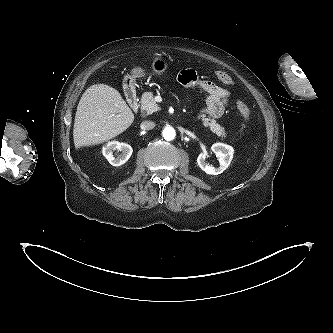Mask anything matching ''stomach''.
Masks as SVG:
<instances>
[{"mask_svg":"<svg viewBox=\"0 0 333 333\" xmlns=\"http://www.w3.org/2000/svg\"><path fill=\"white\" fill-rule=\"evenodd\" d=\"M151 68L154 75H161L167 70L168 63L164 59L158 57L153 60ZM146 74L147 73L143 68L134 67L131 70V74L126 76V80H129L130 83H133L136 78H142L146 76Z\"/></svg>","mask_w":333,"mask_h":333,"instance_id":"1","label":"stomach"}]
</instances>
